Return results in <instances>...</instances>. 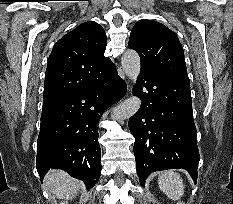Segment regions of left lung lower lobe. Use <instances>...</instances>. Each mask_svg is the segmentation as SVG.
Masks as SVG:
<instances>
[{
    "instance_id": "obj_1",
    "label": "left lung lower lobe",
    "mask_w": 233,
    "mask_h": 204,
    "mask_svg": "<svg viewBox=\"0 0 233 204\" xmlns=\"http://www.w3.org/2000/svg\"><path fill=\"white\" fill-rule=\"evenodd\" d=\"M133 93L142 99L129 119L141 185L150 173L174 168L186 169L196 182L200 156L190 83L141 69Z\"/></svg>"
}]
</instances>
